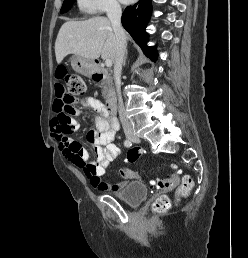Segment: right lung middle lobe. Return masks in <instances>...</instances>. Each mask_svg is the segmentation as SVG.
<instances>
[{"label": "right lung middle lobe", "mask_w": 248, "mask_h": 258, "mask_svg": "<svg viewBox=\"0 0 248 258\" xmlns=\"http://www.w3.org/2000/svg\"><path fill=\"white\" fill-rule=\"evenodd\" d=\"M72 3H73V0H64L60 12H61V13L67 12V11L70 9Z\"/></svg>", "instance_id": "1"}]
</instances>
